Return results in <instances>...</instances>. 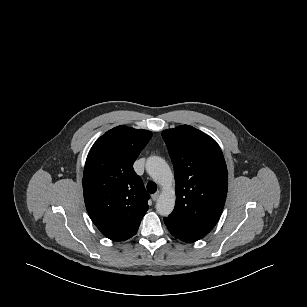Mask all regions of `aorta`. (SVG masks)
<instances>
[{"instance_id":"obj_1","label":"aorta","mask_w":307,"mask_h":307,"mask_svg":"<svg viewBox=\"0 0 307 307\" xmlns=\"http://www.w3.org/2000/svg\"><path fill=\"white\" fill-rule=\"evenodd\" d=\"M147 173L162 186L163 190L156 202V211L168 216L175 207L174 175L167 162L159 156H150L146 161Z\"/></svg>"}]
</instances>
